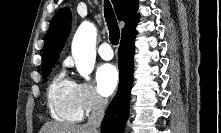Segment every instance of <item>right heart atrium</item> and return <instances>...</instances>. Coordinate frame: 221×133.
<instances>
[{"label":"right heart atrium","mask_w":221,"mask_h":133,"mask_svg":"<svg viewBox=\"0 0 221 133\" xmlns=\"http://www.w3.org/2000/svg\"><path fill=\"white\" fill-rule=\"evenodd\" d=\"M78 100L82 111L86 114H92L100 111L105 100L99 96L92 84L80 82L77 84Z\"/></svg>","instance_id":"right-heart-atrium-1"}]
</instances>
